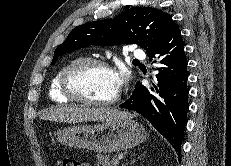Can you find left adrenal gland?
Here are the masks:
<instances>
[{"instance_id":"1","label":"left adrenal gland","mask_w":231,"mask_h":166,"mask_svg":"<svg viewBox=\"0 0 231 166\" xmlns=\"http://www.w3.org/2000/svg\"><path fill=\"white\" fill-rule=\"evenodd\" d=\"M141 156H142V155H140V156L138 157V159H139ZM134 161H135V160H134ZM134 161H133V162H134ZM133 162H132V163H133Z\"/></svg>"}]
</instances>
